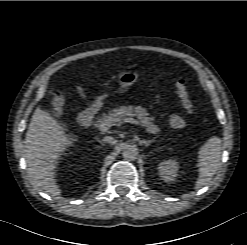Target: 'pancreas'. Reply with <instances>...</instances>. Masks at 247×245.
<instances>
[{
    "label": "pancreas",
    "mask_w": 247,
    "mask_h": 245,
    "mask_svg": "<svg viewBox=\"0 0 247 245\" xmlns=\"http://www.w3.org/2000/svg\"><path fill=\"white\" fill-rule=\"evenodd\" d=\"M127 116H135L140 121V124L145 127L146 131L152 134H158L161 132L160 128L154 124V118L149 117L146 109L141 107L133 106H121L109 111L108 114H103L102 117L98 119V124L110 123L118 124L124 121Z\"/></svg>",
    "instance_id": "obj_1"
}]
</instances>
